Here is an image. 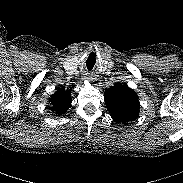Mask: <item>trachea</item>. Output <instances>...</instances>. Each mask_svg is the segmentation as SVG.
<instances>
[{
    "label": "trachea",
    "instance_id": "trachea-1",
    "mask_svg": "<svg viewBox=\"0 0 183 183\" xmlns=\"http://www.w3.org/2000/svg\"><path fill=\"white\" fill-rule=\"evenodd\" d=\"M95 63H96L95 55L90 54L88 59L86 60V65H87L88 70H92Z\"/></svg>",
    "mask_w": 183,
    "mask_h": 183
}]
</instances>
